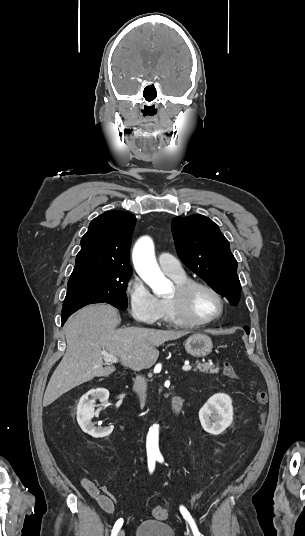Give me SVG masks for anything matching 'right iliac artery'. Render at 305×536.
<instances>
[{
	"label": "right iliac artery",
	"mask_w": 305,
	"mask_h": 536,
	"mask_svg": "<svg viewBox=\"0 0 305 536\" xmlns=\"http://www.w3.org/2000/svg\"><path fill=\"white\" fill-rule=\"evenodd\" d=\"M155 462H156V457L155 456H151L148 458V468H149V471L150 473H152L155 469ZM123 525V519L120 518L116 521L113 529H112V533H111V536H117V533L118 531L120 530V528L122 527Z\"/></svg>",
	"instance_id": "right-iliac-artery-1"
}]
</instances>
